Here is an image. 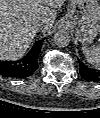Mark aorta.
<instances>
[{
    "label": "aorta",
    "mask_w": 100,
    "mask_h": 118,
    "mask_svg": "<svg viewBox=\"0 0 100 118\" xmlns=\"http://www.w3.org/2000/svg\"><path fill=\"white\" fill-rule=\"evenodd\" d=\"M53 40L58 47H66L69 45L71 37L68 32L60 30L57 33H55Z\"/></svg>",
    "instance_id": "762f6f07"
}]
</instances>
